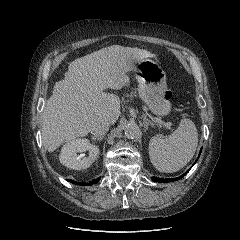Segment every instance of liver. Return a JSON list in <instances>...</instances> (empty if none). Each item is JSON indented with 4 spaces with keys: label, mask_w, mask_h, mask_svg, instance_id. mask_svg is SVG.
Returning <instances> with one entry per match:
<instances>
[{
    "label": "liver",
    "mask_w": 240,
    "mask_h": 240,
    "mask_svg": "<svg viewBox=\"0 0 240 240\" xmlns=\"http://www.w3.org/2000/svg\"><path fill=\"white\" fill-rule=\"evenodd\" d=\"M151 57L154 54L143 49L112 45L72 61L42 114L45 149L53 152L66 141L86 136L102 120L114 124L121 114L120 99L104 90L129 86L126 73Z\"/></svg>",
    "instance_id": "6515ba94"
}]
</instances>
